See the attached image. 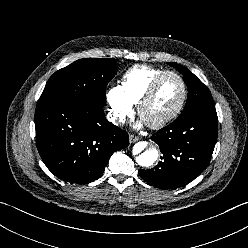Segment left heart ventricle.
<instances>
[{"instance_id": "1", "label": "left heart ventricle", "mask_w": 248, "mask_h": 248, "mask_svg": "<svg viewBox=\"0 0 248 248\" xmlns=\"http://www.w3.org/2000/svg\"><path fill=\"white\" fill-rule=\"evenodd\" d=\"M182 86L175 76L166 77L159 85L153 99L144 110L146 121L158 120L172 112L180 102Z\"/></svg>"}]
</instances>
